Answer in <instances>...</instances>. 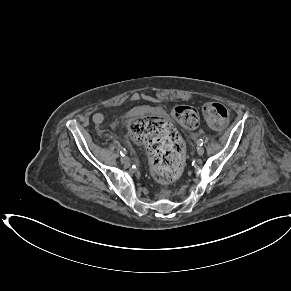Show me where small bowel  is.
<instances>
[{"label": "small bowel", "instance_id": "obj_1", "mask_svg": "<svg viewBox=\"0 0 291 291\" xmlns=\"http://www.w3.org/2000/svg\"><path fill=\"white\" fill-rule=\"evenodd\" d=\"M92 120L94 123L96 124H100L103 122L104 118H103V115L100 114V113H95L93 116H92Z\"/></svg>", "mask_w": 291, "mask_h": 291}]
</instances>
